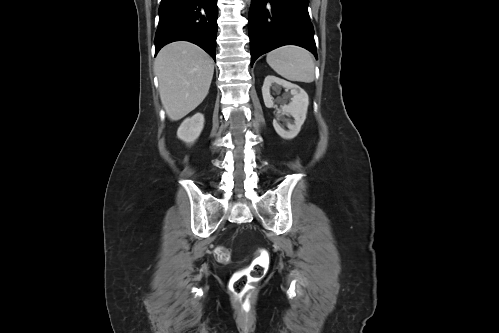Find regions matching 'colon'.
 Returning <instances> with one entry per match:
<instances>
[{
    "label": "colon",
    "instance_id": "1",
    "mask_svg": "<svg viewBox=\"0 0 499 333\" xmlns=\"http://www.w3.org/2000/svg\"><path fill=\"white\" fill-rule=\"evenodd\" d=\"M215 258L222 263H227L231 259V252L223 246H219L214 251ZM268 257L262 253L252 265L237 273L232 279L231 290L237 301L243 308H248V299L251 291V283L260 279L267 268Z\"/></svg>",
    "mask_w": 499,
    "mask_h": 333
}]
</instances>
